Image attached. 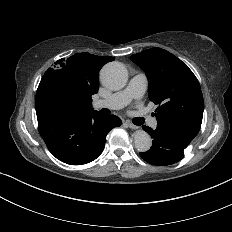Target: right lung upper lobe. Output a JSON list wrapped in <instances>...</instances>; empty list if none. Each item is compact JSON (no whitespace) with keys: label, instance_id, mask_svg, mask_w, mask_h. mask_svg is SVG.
<instances>
[{"label":"right lung upper lobe","instance_id":"cb5924a9","mask_svg":"<svg viewBox=\"0 0 232 232\" xmlns=\"http://www.w3.org/2000/svg\"><path fill=\"white\" fill-rule=\"evenodd\" d=\"M111 56H96L90 53H78L69 58L56 61L54 68L46 71L38 86L35 98L36 111L62 107L52 98L49 87L54 79L66 81L72 88L74 101L80 106L79 110H92L91 96L98 91L99 70L108 62Z\"/></svg>","mask_w":232,"mask_h":232}]
</instances>
